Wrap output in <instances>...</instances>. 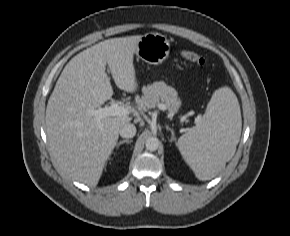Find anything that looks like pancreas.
<instances>
[{
	"instance_id": "obj_1",
	"label": "pancreas",
	"mask_w": 290,
	"mask_h": 236,
	"mask_svg": "<svg viewBox=\"0 0 290 236\" xmlns=\"http://www.w3.org/2000/svg\"><path fill=\"white\" fill-rule=\"evenodd\" d=\"M142 91L143 96L138 101L142 111L155 108L160 102L171 114L176 113L180 108L181 101L177 96V91L163 81L143 87Z\"/></svg>"
}]
</instances>
